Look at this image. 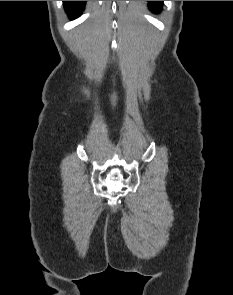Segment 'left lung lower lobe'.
<instances>
[{
  "mask_svg": "<svg viewBox=\"0 0 233 295\" xmlns=\"http://www.w3.org/2000/svg\"><path fill=\"white\" fill-rule=\"evenodd\" d=\"M149 9L154 12H159L162 6V1H148Z\"/></svg>",
  "mask_w": 233,
  "mask_h": 295,
  "instance_id": "1",
  "label": "left lung lower lobe"
}]
</instances>
